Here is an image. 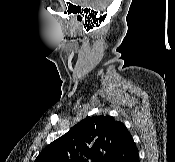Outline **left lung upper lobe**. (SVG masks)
Segmentation results:
<instances>
[{
	"label": "left lung upper lobe",
	"mask_w": 175,
	"mask_h": 162,
	"mask_svg": "<svg viewBox=\"0 0 175 162\" xmlns=\"http://www.w3.org/2000/svg\"><path fill=\"white\" fill-rule=\"evenodd\" d=\"M127 132L109 115L86 117L45 147L35 162H109Z\"/></svg>",
	"instance_id": "obj_1"
}]
</instances>
